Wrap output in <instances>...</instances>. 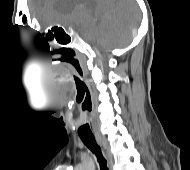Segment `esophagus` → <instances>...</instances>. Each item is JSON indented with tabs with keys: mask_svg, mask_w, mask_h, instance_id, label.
Wrapping results in <instances>:
<instances>
[{
	"mask_svg": "<svg viewBox=\"0 0 190 170\" xmlns=\"http://www.w3.org/2000/svg\"><path fill=\"white\" fill-rule=\"evenodd\" d=\"M96 140H97V142H98V143L103 147V149H104V153H105V157L107 158V161H108L109 169H110V170H114V169H113L114 161H113V157H112V154H111L109 148L107 147L106 143L104 142V140L102 139L101 136H96Z\"/></svg>",
	"mask_w": 190,
	"mask_h": 170,
	"instance_id": "34e87169",
	"label": "esophagus"
}]
</instances>
